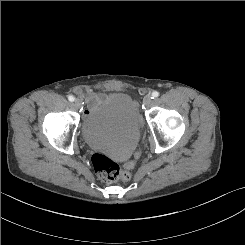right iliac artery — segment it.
I'll return each instance as SVG.
<instances>
[{
  "instance_id": "1",
  "label": "right iliac artery",
  "mask_w": 245,
  "mask_h": 245,
  "mask_svg": "<svg viewBox=\"0 0 245 245\" xmlns=\"http://www.w3.org/2000/svg\"><path fill=\"white\" fill-rule=\"evenodd\" d=\"M68 100L71 101V102H73V101L75 100V98H74V96L70 95V96L68 97Z\"/></svg>"
}]
</instances>
